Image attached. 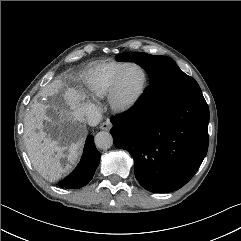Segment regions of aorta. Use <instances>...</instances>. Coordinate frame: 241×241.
Returning a JSON list of instances; mask_svg holds the SVG:
<instances>
[{
    "instance_id": "obj_1",
    "label": "aorta",
    "mask_w": 241,
    "mask_h": 241,
    "mask_svg": "<svg viewBox=\"0 0 241 241\" xmlns=\"http://www.w3.org/2000/svg\"><path fill=\"white\" fill-rule=\"evenodd\" d=\"M95 144L99 149H109L113 145V137L109 132H98L95 136Z\"/></svg>"
}]
</instances>
